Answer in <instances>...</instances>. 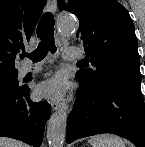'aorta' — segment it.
Instances as JSON below:
<instances>
[{"label": "aorta", "mask_w": 145, "mask_h": 147, "mask_svg": "<svg viewBox=\"0 0 145 147\" xmlns=\"http://www.w3.org/2000/svg\"><path fill=\"white\" fill-rule=\"evenodd\" d=\"M61 34H69L78 27V23L71 16H64L57 23ZM67 127V111L65 107L59 108L49 119L47 139L49 147H63Z\"/></svg>", "instance_id": "obj_1"}]
</instances>
